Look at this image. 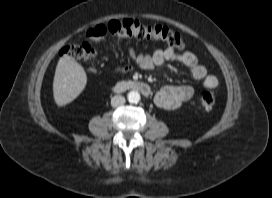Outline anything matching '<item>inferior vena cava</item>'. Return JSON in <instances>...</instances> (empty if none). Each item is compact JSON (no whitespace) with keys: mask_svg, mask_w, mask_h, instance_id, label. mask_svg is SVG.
<instances>
[{"mask_svg":"<svg viewBox=\"0 0 272 198\" xmlns=\"http://www.w3.org/2000/svg\"><path fill=\"white\" fill-rule=\"evenodd\" d=\"M125 97L121 95H115L114 97L111 98V105L112 107H118L121 106L125 103Z\"/></svg>","mask_w":272,"mask_h":198,"instance_id":"1","label":"inferior vena cava"}]
</instances>
